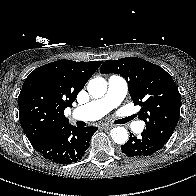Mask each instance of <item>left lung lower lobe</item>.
I'll return each mask as SVG.
<instances>
[{"label":"left lung lower lobe","mask_w":196,"mask_h":196,"mask_svg":"<svg viewBox=\"0 0 196 196\" xmlns=\"http://www.w3.org/2000/svg\"><path fill=\"white\" fill-rule=\"evenodd\" d=\"M164 145L165 143L154 135L143 131L140 137L130 133V138L127 143L121 146V151L129 157L141 158L151 156L162 149Z\"/></svg>","instance_id":"left-lung-lower-lobe-1"}]
</instances>
